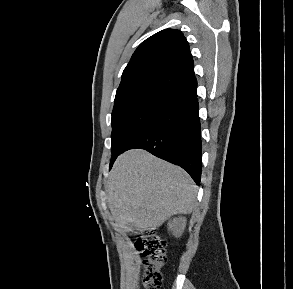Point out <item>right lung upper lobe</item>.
I'll return each instance as SVG.
<instances>
[{"instance_id": "1", "label": "right lung upper lobe", "mask_w": 293, "mask_h": 289, "mask_svg": "<svg viewBox=\"0 0 293 289\" xmlns=\"http://www.w3.org/2000/svg\"><path fill=\"white\" fill-rule=\"evenodd\" d=\"M138 96L160 97L176 106L197 96L193 59L182 32L162 30L136 49L123 71L115 104Z\"/></svg>"}]
</instances>
